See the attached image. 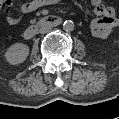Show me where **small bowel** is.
<instances>
[{"instance_id":"obj_1","label":"small bowel","mask_w":119,"mask_h":119,"mask_svg":"<svg viewBox=\"0 0 119 119\" xmlns=\"http://www.w3.org/2000/svg\"><path fill=\"white\" fill-rule=\"evenodd\" d=\"M54 0H32L22 2L19 6L20 11L23 14L31 13L38 8L53 4ZM14 0H6L3 3V8L6 11L14 5ZM91 4L94 8L95 13L99 16L90 22V31L93 36L98 38L108 37L114 28L117 26L118 20L116 16V10L112 5H107L101 0H92ZM6 21L9 25H16L19 23L20 18L8 15Z\"/></svg>"}]
</instances>
